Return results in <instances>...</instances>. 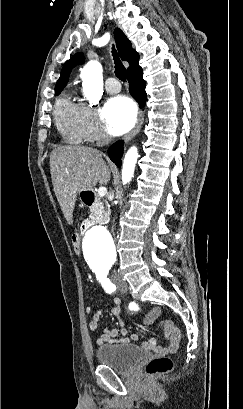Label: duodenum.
I'll return each instance as SVG.
<instances>
[{
	"label": "duodenum",
	"instance_id": "duodenum-1",
	"mask_svg": "<svg viewBox=\"0 0 243 409\" xmlns=\"http://www.w3.org/2000/svg\"><path fill=\"white\" fill-rule=\"evenodd\" d=\"M82 201L86 206L93 207L97 202V198L92 190H87L82 195ZM96 222L99 224L103 223V221L101 220H98ZM90 225H91L90 222H85L82 226V230L85 231L87 228H89Z\"/></svg>",
	"mask_w": 243,
	"mask_h": 409
}]
</instances>
